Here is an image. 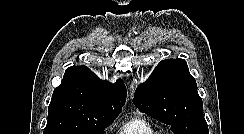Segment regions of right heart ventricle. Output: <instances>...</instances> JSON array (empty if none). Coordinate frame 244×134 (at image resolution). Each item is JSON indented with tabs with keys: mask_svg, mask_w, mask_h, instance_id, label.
I'll list each match as a JSON object with an SVG mask.
<instances>
[{
	"mask_svg": "<svg viewBox=\"0 0 244 134\" xmlns=\"http://www.w3.org/2000/svg\"><path fill=\"white\" fill-rule=\"evenodd\" d=\"M116 134H160L155 127L141 117H134L125 122Z\"/></svg>",
	"mask_w": 244,
	"mask_h": 134,
	"instance_id": "1",
	"label": "right heart ventricle"
}]
</instances>
